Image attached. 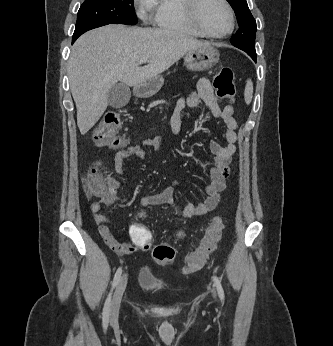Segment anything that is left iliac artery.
Returning a JSON list of instances; mask_svg holds the SVG:
<instances>
[{"label": "left iliac artery", "mask_w": 333, "mask_h": 346, "mask_svg": "<svg viewBox=\"0 0 333 346\" xmlns=\"http://www.w3.org/2000/svg\"><path fill=\"white\" fill-rule=\"evenodd\" d=\"M212 279L214 281V285L217 289L218 295H219L220 299L223 301L224 300V290L222 288L221 282L216 275H213Z\"/></svg>", "instance_id": "44dca946"}]
</instances>
